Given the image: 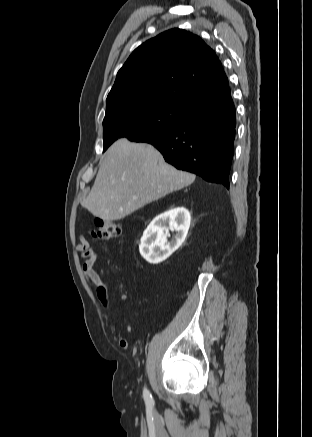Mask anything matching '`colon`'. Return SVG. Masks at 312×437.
<instances>
[{"label": "colon", "mask_w": 312, "mask_h": 437, "mask_svg": "<svg viewBox=\"0 0 312 437\" xmlns=\"http://www.w3.org/2000/svg\"><path fill=\"white\" fill-rule=\"evenodd\" d=\"M92 234L100 240H111L121 234V227L117 222L98 218L96 219L95 229Z\"/></svg>", "instance_id": "obj_1"}]
</instances>
